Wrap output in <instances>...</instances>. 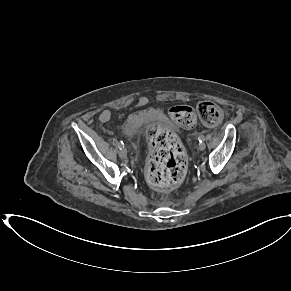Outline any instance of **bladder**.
<instances>
[{
	"label": "bladder",
	"mask_w": 291,
	"mask_h": 291,
	"mask_svg": "<svg viewBox=\"0 0 291 291\" xmlns=\"http://www.w3.org/2000/svg\"><path fill=\"white\" fill-rule=\"evenodd\" d=\"M147 124V118L144 116L128 117L124 121V132L130 135L140 134L145 125Z\"/></svg>",
	"instance_id": "31cf9c89"
}]
</instances>
